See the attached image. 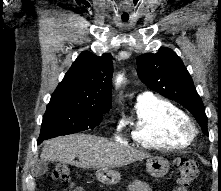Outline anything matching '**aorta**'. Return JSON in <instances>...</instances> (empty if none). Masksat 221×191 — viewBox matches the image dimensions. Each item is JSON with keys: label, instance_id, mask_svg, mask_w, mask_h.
<instances>
[{"label": "aorta", "instance_id": "762f6f07", "mask_svg": "<svg viewBox=\"0 0 221 191\" xmlns=\"http://www.w3.org/2000/svg\"><path fill=\"white\" fill-rule=\"evenodd\" d=\"M123 80V76L119 75L116 79V85H119L121 83V81Z\"/></svg>", "mask_w": 221, "mask_h": 191}]
</instances>
